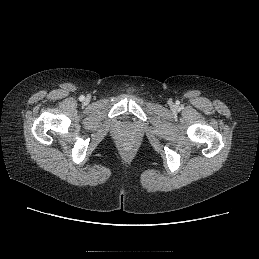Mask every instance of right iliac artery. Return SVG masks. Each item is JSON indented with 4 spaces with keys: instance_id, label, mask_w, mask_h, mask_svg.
<instances>
[{
    "instance_id": "82829eb1",
    "label": "right iliac artery",
    "mask_w": 259,
    "mask_h": 259,
    "mask_svg": "<svg viewBox=\"0 0 259 259\" xmlns=\"http://www.w3.org/2000/svg\"><path fill=\"white\" fill-rule=\"evenodd\" d=\"M80 99H81V100H83V99H84V97H83V96H81V97H80Z\"/></svg>"
}]
</instances>
